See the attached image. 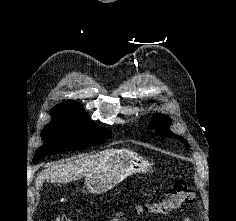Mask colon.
<instances>
[{"label":"colon","instance_id":"colon-1","mask_svg":"<svg viewBox=\"0 0 236 221\" xmlns=\"http://www.w3.org/2000/svg\"><path fill=\"white\" fill-rule=\"evenodd\" d=\"M195 199V193L192 188L183 180L175 182L169 188L167 193L147 206V209L155 214L168 215L172 212L183 209L191 204ZM51 221H74L66 214H59Z\"/></svg>","mask_w":236,"mask_h":221}]
</instances>
